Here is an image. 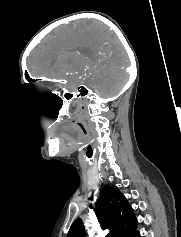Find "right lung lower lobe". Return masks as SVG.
<instances>
[{
	"instance_id": "right-lung-lower-lobe-1",
	"label": "right lung lower lobe",
	"mask_w": 181,
	"mask_h": 237,
	"mask_svg": "<svg viewBox=\"0 0 181 237\" xmlns=\"http://www.w3.org/2000/svg\"><path fill=\"white\" fill-rule=\"evenodd\" d=\"M135 237H140V234H139V232L135 235Z\"/></svg>"
}]
</instances>
